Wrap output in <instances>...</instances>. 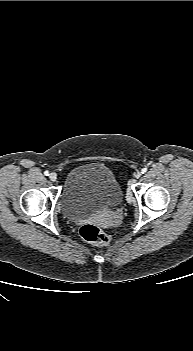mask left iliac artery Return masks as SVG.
Masks as SVG:
<instances>
[{
    "mask_svg": "<svg viewBox=\"0 0 193 351\" xmlns=\"http://www.w3.org/2000/svg\"><path fill=\"white\" fill-rule=\"evenodd\" d=\"M146 171H147V168H143V169L141 170V173L144 174V173H146Z\"/></svg>",
    "mask_w": 193,
    "mask_h": 351,
    "instance_id": "1",
    "label": "left iliac artery"
}]
</instances>
